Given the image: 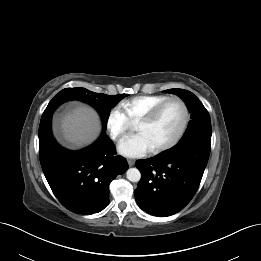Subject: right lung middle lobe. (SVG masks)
Instances as JSON below:
<instances>
[{
  "mask_svg": "<svg viewBox=\"0 0 261 261\" xmlns=\"http://www.w3.org/2000/svg\"><path fill=\"white\" fill-rule=\"evenodd\" d=\"M126 96H128V94L110 96L91 92L85 88H66L57 93L50 101L42 117L52 114L54 110L65 101L81 100L92 105L99 112L103 122V130L105 131L111 108Z\"/></svg>",
  "mask_w": 261,
  "mask_h": 261,
  "instance_id": "1",
  "label": "right lung middle lobe"
}]
</instances>
